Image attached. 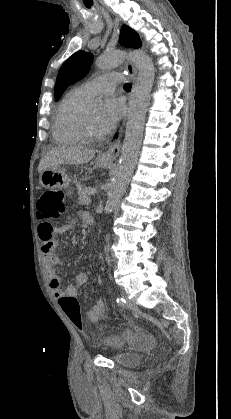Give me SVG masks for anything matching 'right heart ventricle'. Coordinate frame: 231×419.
I'll use <instances>...</instances> for the list:
<instances>
[{"mask_svg":"<svg viewBox=\"0 0 231 419\" xmlns=\"http://www.w3.org/2000/svg\"><path fill=\"white\" fill-rule=\"evenodd\" d=\"M89 97L78 88L71 90L60 102L54 116L52 134L55 141L62 144H79L83 138L76 127V120L84 110Z\"/></svg>","mask_w":231,"mask_h":419,"instance_id":"right-heart-ventricle-1","label":"right heart ventricle"}]
</instances>
